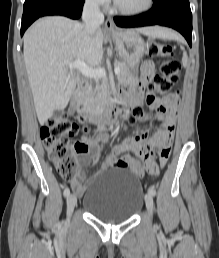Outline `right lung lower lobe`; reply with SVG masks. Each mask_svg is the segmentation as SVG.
<instances>
[{
    "label": "right lung lower lobe",
    "instance_id": "right-lung-lower-lobe-1",
    "mask_svg": "<svg viewBox=\"0 0 219 258\" xmlns=\"http://www.w3.org/2000/svg\"><path fill=\"white\" fill-rule=\"evenodd\" d=\"M83 4L84 0H33L24 4L21 36L36 19L42 16L63 15L72 19H79Z\"/></svg>",
    "mask_w": 219,
    "mask_h": 258
}]
</instances>
